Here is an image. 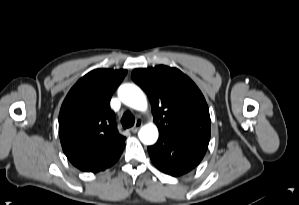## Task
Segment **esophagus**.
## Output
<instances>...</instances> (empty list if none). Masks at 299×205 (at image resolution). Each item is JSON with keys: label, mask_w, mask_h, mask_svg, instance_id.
<instances>
[{"label": "esophagus", "mask_w": 299, "mask_h": 205, "mask_svg": "<svg viewBox=\"0 0 299 205\" xmlns=\"http://www.w3.org/2000/svg\"><path fill=\"white\" fill-rule=\"evenodd\" d=\"M142 125H143L142 120L137 119L135 125L131 128V131H132L133 133L137 132L138 129H139Z\"/></svg>", "instance_id": "obj_1"}]
</instances>
